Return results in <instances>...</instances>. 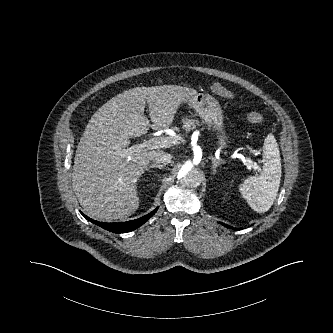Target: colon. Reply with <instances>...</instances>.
<instances>
[{"mask_svg": "<svg viewBox=\"0 0 333 333\" xmlns=\"http://www.w3.org/2000/svg\"><path fill=\"white\" fill-rule=\"evenodd\" d=\"M212 91L221 96L224 97L226 99H234L235 95L233 92H231L229 89H227L226 87H224L223 85L219 84V83H215L212 87H211ZM247 119L249 122L253 123V124H260L264 121V117L255 111H250L247 113Z\"/></svg>", "mask_w": 333, "mask_h": 333, "instance_id": "colon-1", "label": "colon"}]
</instances>
